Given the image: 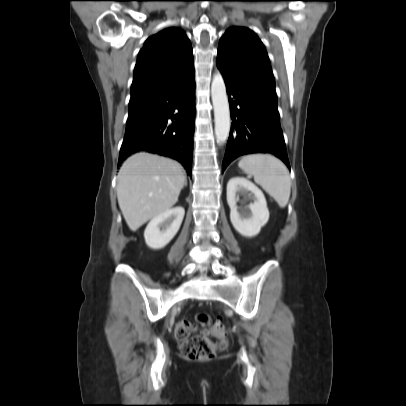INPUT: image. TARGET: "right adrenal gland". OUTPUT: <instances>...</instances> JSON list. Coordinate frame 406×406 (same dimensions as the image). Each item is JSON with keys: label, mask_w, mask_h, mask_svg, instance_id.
<instances>
[{"label": "right adrenal gland", "mask_w": 406, "mask_h": 406, "mask_svg": "<svg viewBox=\"0 0 406 406\" xmlns=\"http://www.w3.org/2000/svg\"><path fill=\"white\" fill-rule=\"evenodd\" d=\"M184 186H185V187L187 186V179L185 180Z\"/></svg>", "instance_id": "2a0ac1e0"}]
</instances>
